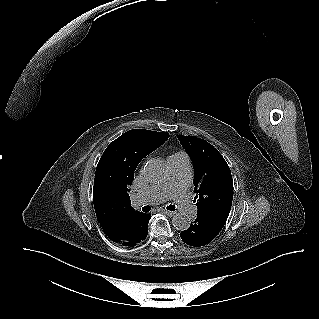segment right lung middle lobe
Returning a JSON list of instances; mask_svg holds the SVG:
<instances>
[{"instance_id":"dd1d6c3e","label":"right lung middle lobe","mask_w":319,"mask_h":319,"mask_svg":"<svg viewBox=\"0 0 319 319\" xmlns=\"http://www.w3.org/2000/svg\"><path fill=\"white\" fill-rule=\"evenodd\" d=\"M134 175V169L124 159L113 153L102 155L97 165L93 199L114 195L127 185Z\"/></svg>"}]
</instances>
